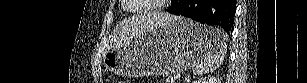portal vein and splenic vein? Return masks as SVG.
Masks as SVG:
<instances>
[{
	"mask_svg": "<svg viewBox=\"0 0 307 83\" xmlns=\"http://www.w3.org/2000/svg\"><path fill=\"white\" fill-rule=\"evenodd\" d=\"M174 79H176V80L180 79V74L174 75Z\"/></svg>",
	"mask_w": 307,
	"mask_h": 83,
	"instance_id": "obj_1",
	"label": "portal vein and splenic vein"
}]
</instances>
